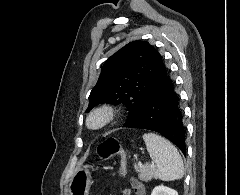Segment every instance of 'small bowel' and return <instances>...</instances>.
Segmentation results:
<instances>
[{
    "instance_id": "obj_1",
    "label": "small bowel",
    "mask_w": 240,
    "mask_h": 195,
    "mask_svg": "<svg viewBox=\"0 0 240 195\" xmlns=\"http://www.w3.org/2000/svg\"><path fill=\"white\" fill-rule=\"evenodd\" d=\"M145 187L143 183L137 178L130 179V188L122 190V195H145Z\"/></svg>"
}]
</instances>
